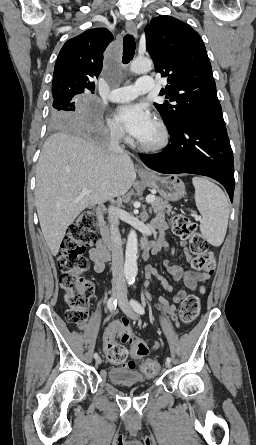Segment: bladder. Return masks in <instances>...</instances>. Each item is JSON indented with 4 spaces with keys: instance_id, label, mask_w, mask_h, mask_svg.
Wrapping results in <instances>:
<instances>
[{
    "instance_id": "obj_1",
    "label": "bladder",
    "mask_w": 256,
    "mask_h": 445,
    "mask_svg": "<svg viewBox=\"0 0 256 445\" xmlns=\"http://www.w3.org/2000/svg\"><path fill=\"white\" fill-rule=\"evenodd\" d=\"M108 379L110 382L123 385H143L147 386L149 380L144 377V375L136 370L127 367L111 368L107 372Z\"/></svg>"
}]
</instances>
